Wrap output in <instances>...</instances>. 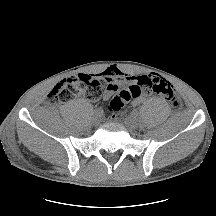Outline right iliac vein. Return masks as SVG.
Listing matches in <instances>:
<instances>
[{
  "instance_id": "right-iliac-vein-1",
  "label": "right iliac vein",
  "mask_w": 216,
  "mask_h": 216,
  "mask_svg": "<svg viewBox=\"0 0 216 216\" xmlns=\"http://www.w3.org/2000/svg\"><path fill=\"white\" fill-rule=\"evenodd\" d=\"M101 121V117L99 115H94L93 116V119H92V122L94 125H98Z\"/></svg>"
}]
</instances>
